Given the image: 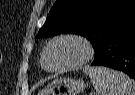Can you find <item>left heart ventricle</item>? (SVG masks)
Segmentation results:
<instances>
[{"label":"left heart ventricle","mask_w":135,"mask_h":95,"mask_svg":"<svg viewBox=\"0 0 135 95\" xmlns=\"http://www.w3.org/2000/svg\"><path fill=\"white\" fill-rule=\"evenodd\" d=\"M84 50L82 46L71 40L55 43L49 51L47 65L50 68H62L74 64L82 58Z\"/></svg>","instance_id":"left-heart-ventricle-1"}]
</instances>
